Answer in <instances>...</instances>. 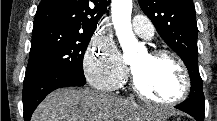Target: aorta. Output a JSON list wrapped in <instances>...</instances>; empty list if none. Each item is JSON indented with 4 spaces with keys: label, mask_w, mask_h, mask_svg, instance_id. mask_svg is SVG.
<instances>
[{
    "label": "aorta",
    "mask_w": 217,
    "mask_h": 121,
    "mask_svg": "<svg viewBox=\"0 0 217 121\" xmlns=\"http://www.w3.org/2000/svg\"><path fill=\"white\" fill-rule=\"evenodd\" d=\"M132 0H113L111 15L124 60L132 59L140 49L131 25Z\"/></svg>",
    "instance_id": "obj_1"
}]
</instances>
